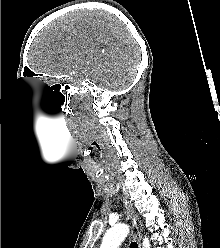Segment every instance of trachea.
<instances>
[{
  "label": "trachea",
  "mask_w": 220,
  "mask_h": 248,
  "mask_svg": "<svg viewBox=\"0 0 220 248\" xmlns=\"http://www.w3.org/2000/svg\"><path fill=\"white\" fill-rule=\"evenodd\" d=\"M130 248H138V245L136 242H131Z\"/></svg>",
  "instance_id": "obj_1"
}]
</instances>
